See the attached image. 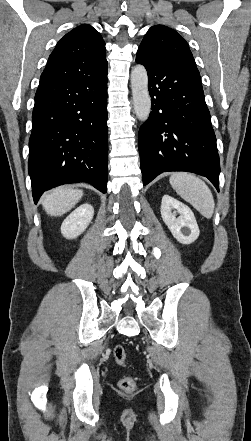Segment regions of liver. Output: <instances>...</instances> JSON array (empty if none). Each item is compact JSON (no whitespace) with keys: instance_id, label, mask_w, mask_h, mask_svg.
<instances>
[{"instance_id":"1","label":"liver","mask_w":251,"mask_h":441,"mask_svg":"<svg viewBox=\"0 0 251 441\" xmlns=\"http://www.w3.org/2000/svg\"><path fill=\"white\" fill-rule=\"evenodd\" d=\"M82 196V190L58 187L43 198L42 205L50 216H62L70 211Z\"/></svg>"}]
</instances>
